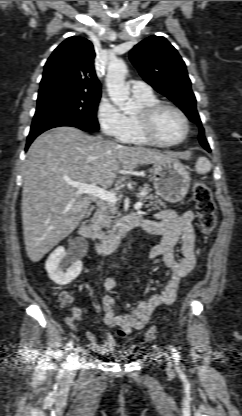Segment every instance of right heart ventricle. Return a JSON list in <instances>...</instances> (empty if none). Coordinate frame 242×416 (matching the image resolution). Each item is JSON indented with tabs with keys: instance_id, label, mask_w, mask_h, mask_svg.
Segmentation results:
<instances>
[{
	"instance_id": "right-heart-ventricle-1",
	"label": "right heart ventricle",
	"mask_w": 242,
	"mask_h": 416,
	"mask_svg": "<svg viewBox=\"0 0 242 416\" xmlns=\"http://www.w3.org/2000/svg\"><path fill=\"white\" fill-rule=\"evenodd\" d=\"M135 99L143 106H148L159 102L156 96L151 93L148 95H134ZM129 131L126 138L123 140L125 142L135 144V145H147L150 144L141 134L136 116L128 117Z\"/></svg>"
}]
</instances>
